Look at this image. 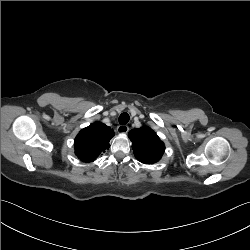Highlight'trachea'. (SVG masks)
<instances>
[{
    "label": "trachea",
    "mask_w": 250,
    "mask_h": 250,
    "mask_svg": "<svg viewBox=\"0 0 250 250\" xmlns=\"http://www.w3.org/2000/svg\"><path fill=\"white\" fill-rule=\"evenodd\" d=\"M130 117H129V114L128 113H122L120 116H119V123L121 125H125L128 123Z\"/></svg>",
    "instance_id": "3493384b"
}]
</instances>
